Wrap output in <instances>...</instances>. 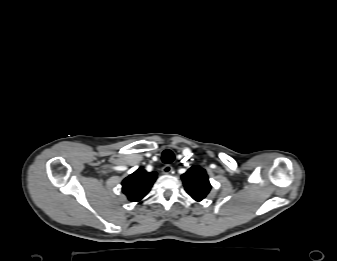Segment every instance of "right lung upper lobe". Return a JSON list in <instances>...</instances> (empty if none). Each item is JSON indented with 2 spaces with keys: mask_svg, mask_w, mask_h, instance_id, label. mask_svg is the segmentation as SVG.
<instances>
[{
  "mask_svg": "<svg viewBox=\"0 0 337 261\" xmlns=\"http://www.w3.org/2000/svg\"><path fill=\"white\" fill-rule=\"evenodd\" d=\"M156 179V172L138 168L122 181V191L130 201H140L148 194Z\"/></svg>",
  "mask_w": 337,
  "mask_h": 261,
  "instance_id": "1",
  "label": "right lung upper lobe"
}]
</instances>
